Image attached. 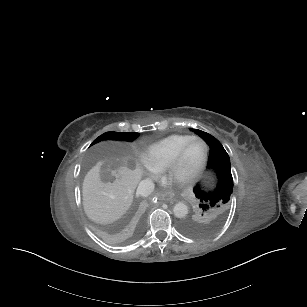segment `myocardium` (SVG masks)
<instances>
[{
    "mask_svg": "<svg viewBox=\"0 0 307 307\" xmlns=\"http://www.w3.org/2000/svg\"><path fill=\"white\" fill-rule=\"evenodd\" d=\"M193 141H200L203 143L205 147L203 158L201 162L193 170H191L183 179H181L177 183L183 186L192 184L199 177V175L203 172V170L206 168L208 159H209V145L203 138L193 136L189 138L179 149L178 153L166 165L162 167V171H161L162 177L165 180L167 181L171 180L172 172L182 163L185 157L186 150L189 144Z\"/></svg>",
    "mask_w": 307,
    "mask_h": 307,
    "instance_id": "1",
    "label": "myocardium"
}]
</instances>
